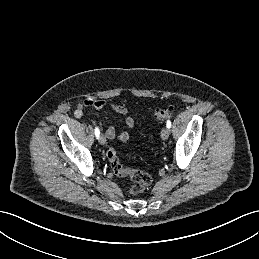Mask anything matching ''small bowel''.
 <instances>
[{
	"instance_id": "c3829d8e",
	"label": "small bowel",
	"mask_w": 259,
	"mask_h": 259,
	"mask_svg": "<svg viewBox=\"0 0 259 259\" xmlns=\"http://www.w3.org/2000/svg\"><path fill=\"white\" fill-rule=\"evenodd\" d=\"M107 107H111L117 114L124 117V122L126 128H132L134 125V120L132 117L128 116L127 109L120 104L110 103L107 100H84L79 102L74 111V115L79 118L82 116L83 111L86 109H97L101 110ZM104 131L105 136L110 140H118L120 142H126L129 139V133L127 130L116 132L114 126H109L104 128L102 123H99Z\"/></svg>"
}]
</instances>
